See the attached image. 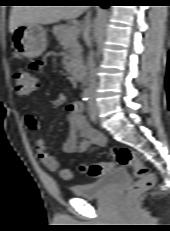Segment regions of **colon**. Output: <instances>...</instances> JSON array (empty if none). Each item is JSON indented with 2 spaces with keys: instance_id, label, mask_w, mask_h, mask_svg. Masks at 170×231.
I'll list each match as a JSON object with an SVG mask.
<instances>
[{
  "instance_id": "colon-1",
  "label": "colon",
  "mask_w": 170,
  "mask_h": 231,
  "mask_svg": "<svg viewBox=\"0 0 170 231\" xmlns=\"http://www.w3.org/2000/svg\"><path fill=\"white\" fill-rule=\"evenodd\" d=\"M14 87L18 95L28 96L38 87V81L29 69L19 67L13 72ZM112 161L82 165L81 172L91 177H100L110 170L115 164L131 167L137 177L136 182L128 192V198L134 199L140 193L150 189L155 183V177L143 164L140 157L128 147H115L112 150ZM58 174L63 180H71L72 172L67 167H61Z\"/></svg>"
}]
</instances>
